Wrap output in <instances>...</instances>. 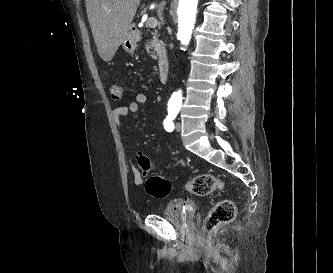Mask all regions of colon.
<instances>
[{
  "instance_id": "1",
  "label": "colon",
  "mask_w": 333,
  "mask_h": 273,
  "mask_svg": "<svg viewBox=\"0 0 333 273\" xmlns=\"http://www.w3.org/2000/svg\"><path fill=\"white\" fill-rule=\"evenodd\" d=\"M110 93L113 99L120 100L124 96L123 87L118 83L110 86ZM138 168L146 175L151 170V162L148 157L139 155L137 157ZM186 190L196 196H207L223 188V182L215 175L204 173L193 177L186 184ZM146 191L153 197L165 198L169 195L171 185L169 180L160 175L150 176L145 183ZM236 215V207L231 200L224 199L217 202L203 222V231L211 234L220 226L230 223Z\"/></svg>"
}]
</instances>
